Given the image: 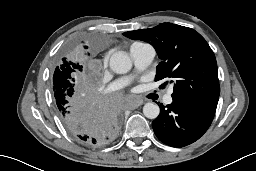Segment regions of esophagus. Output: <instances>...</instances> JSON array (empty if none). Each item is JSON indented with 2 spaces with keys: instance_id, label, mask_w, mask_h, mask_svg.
<instances>
[{
  "instance_id": "34e87169",
  "label": "esophagus",
  "mask_w": 256,
  "mask_h": 171,
  "mask_svg": "<svg viewBox=\"0 0 256 171\" xmlns=\"http://www.w3.org/2000/svg\"><path fill=\"white\" fill-rule=\"evenodd\" d=\"M142 104H143V100L134 99V100H131L127 103V108L131 109V110H134V109L138 108L139 106H141Z\"/></svg>"
}]
</instances>
